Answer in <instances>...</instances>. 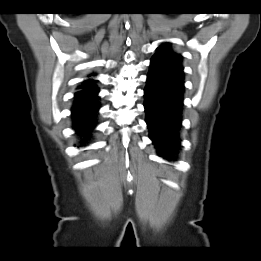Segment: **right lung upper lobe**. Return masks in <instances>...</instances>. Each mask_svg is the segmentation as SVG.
<instances>
[{"label": "right lung upper lobe", "mask_w": 261, "mask_h": 261, "mask_svg": "<svg viewBox=\"0 0 261 261\" xmlns=\"http://www.w3.org/2000/svg\"><path fill=\"white\" fill-rule=\"evenodd\" d=\"M94 80H91V79H88L84 82V84L82 85L83 88H87V87H92L94 86V83H93Z\"/></svg>", "instance_id": "cb5924a9"}]
</instances>
